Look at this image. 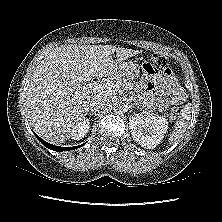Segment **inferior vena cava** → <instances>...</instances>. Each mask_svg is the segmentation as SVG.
<instances>
[{
	"mask_svg": "<svg viewBox=\"0 0 222 222\" xmlns=\"http://www.w3.org/2000/svg\"><path fill=\"white\" fill-rule=\"evenodd\" d=\"M108 105V99L102 94L95 95L89 102V110L91 112H98Z\"/></svg>",
	"mask_w": 222,
	"mask_h": 222,
	"instance_id": "1",
	"label": "inferior vena cava"
}]
</instances>
